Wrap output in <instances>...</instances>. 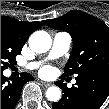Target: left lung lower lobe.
<instances>
[{
  "instance_id": "0a47b994",
  "label": "left lung lower lobe",
  "mask_w": 109,
  "mask_h": 109,
  "mask_svg": "<svg viewBox=\"0 0 109 109\" xmlns=\"http://www.w3.org/2000/svg\"><path fill=\"white\" fill-rule=\"evenodd\" d=\"M56 84L64 91L53 109H99L109 96V73L88 71L76 77V84L67 88L62 82Z\"/></svg>"
}]
</instances>
